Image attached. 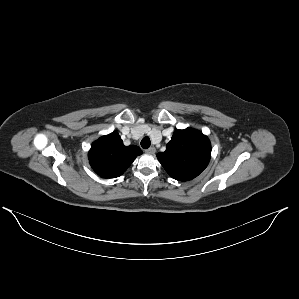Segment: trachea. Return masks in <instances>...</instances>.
<instances>
[{
  "label": "trachea",
  "instance_id": "obj_1",
  "mask_svg": "<svg viewBox=\"0 0 299 299\" xmlns=\"http://www.w3.org/2000/svg\"><path fill=\"white\" fill-rule=\"evenodd\" d=\"M151 145V141H150V138L148 136L144 137L142 140H141V147L144 148V149H148Z\"/></svg>",
  "mask_w": 299,
  "mask_h": 299
}]
</instances>
